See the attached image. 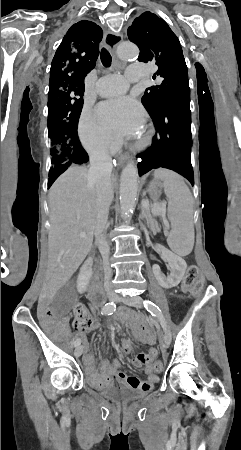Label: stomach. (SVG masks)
Listing matches in <instances>:
<instances>
[{
    "mask_svg": "<svg viewBox=\"0 0 241 450\" xmlns=\"http://www.w3.org/2000/svg\"><path fill=\"white\" fill-rule=\"evenodd\" d=\"M147 191L152 200L156 201L160 196V183L158 180L154 179L149 182Z\"/></svg>",
    "mask_w": 241,
    "mask_h": 450,
    "instance_id": "stomach-1",
    "label": "stomach"
}]
</instances>
